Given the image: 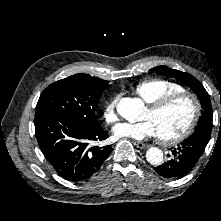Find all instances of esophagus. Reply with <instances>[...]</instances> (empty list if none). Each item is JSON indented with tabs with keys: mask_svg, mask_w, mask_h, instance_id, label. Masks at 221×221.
Returning <instances> with one entry per match:
<instances>
[{
	"mask_svg": "<svg viewBox=\"0 0 221 221\" xmlns=\"http://www.w3.org/2000/svg\"><path fill=\"white\" fill-rule=\"evenodd\" d=\"M136 146L139 148V149H145V148H148L149 145L143 143V142H136Z\"/></svg>",
	"mask_w": 221,
	"mask_h": 221,
	"instance_id": "1",
	"label": "esophagus"
}]
</instances>
